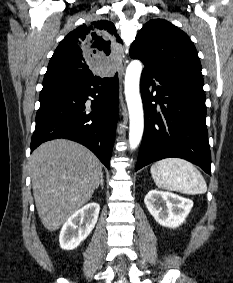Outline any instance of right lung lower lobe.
<instances>
[{"instance_id":"98d812e1","label":"right lung lower lobe","mask_w":233,"mask_h":283,"mask_svg":"<svg viewBox=\"0 0 233 283\" xmlns=\"http://www.w3.org/2000/svg\"><path fill=\"white\" fill-rule=\"evenodd\" d=\"M31 152L41 143L67 138L89 148L109 169L118 112V74L43 83ZM94 98L91 106L86 103Z\"/></svg>"}]
</instances>
